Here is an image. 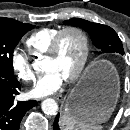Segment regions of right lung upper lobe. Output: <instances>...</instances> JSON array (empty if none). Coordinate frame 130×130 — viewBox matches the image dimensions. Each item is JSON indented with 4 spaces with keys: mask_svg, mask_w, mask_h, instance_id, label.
Here are the masks:
<instances>
[{
    "mask_svg": "<svg viewBox=\"0 0 130 130\" xmlns=\"http://www.w3.org/2000/svg\"><path fill=\"white\" fill-rule=\"evenodd\" d=\"M6 19H10V18H6ZM10 20H14V19H10Z\"/></svg>",
    "mask_w": 130,
    "mask_h": 130,
    "instance_id": "right-lung-upper-lobe-1",
    "label": "right lung upper lobe"
}]
</instances>
